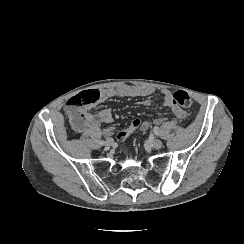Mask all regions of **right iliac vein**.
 Wrapping results in <instances>:
<instances>
[{
    "label": "right iliac vein",
    "instance_id": "1",
    "mask_svg": "<svg viewBox=\"0 0 244 244\" xmlns=\"http://www.w3.org/2000/svg\"><path fill=\"white\" fill-rule=\"evenodd\" d=\"M113 145V140L111 139V138H109V139H107L106 141H105V146H106V148H109V147H111Z\"/></svg>",
    "mask_w": 244,
    "mask_h": 244
}]
</instances>
